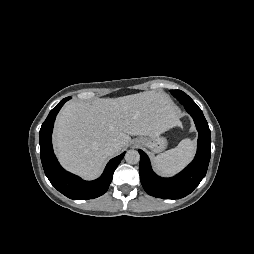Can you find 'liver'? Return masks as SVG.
Returning a JSON list of instances; mask_svg holds the SVG:
<instances>
[{
  "label": "liver",
  "mask_w": 254,
  "mask_h": 254,
  "mask_svg": "<svg viewBox=\"0 0 254 254\" xmlns=\"http://www.w3.org/2000/svg\"><path fill=\"white\" fill-rule=\"evenodd\" d=\"M179 124L177 109L163 92L73 101L57 116L54 144L67 170L94 179L112 156L105 150L110 143H118L121 150L130 143V135L159 136Z\"/></svg>",
  "instance_id": "liver-1"
}]
</instances>
